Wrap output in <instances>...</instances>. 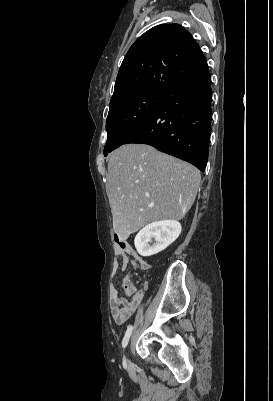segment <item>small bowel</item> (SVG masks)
<instances>
[{"label": "small bowel", "mask_w": 273, "mask_h": 401, "mask_svg": "<svg viewBox=\"0 0 273 401\" xmlns=\"http://www.w3.org/2000/svg\"><path fill=\"white\" fill-rule=\"evenodd\" d=\"M123 245L127 253L126 259H121L120 254H116L115 260L112 267V281L115 280L116 275L125 270L123 264L125 261H132L136 267L137 261H144L140 256H138L133 248L126 243H120ZM123 278H131V276L126 275ZM144 289L147 285L144 284ZM124 292L129 293L130 303H124V293L121 290H117L114 284L111 285L110 295H111V314L114 322L118 325H123L126 323L137 311L144 299H148L150 293L148 290H139L138 284H131V280H126L124 285Z\"/></svg>", "instance_id": "obj_1"}]
</instances>
